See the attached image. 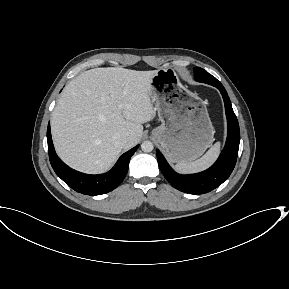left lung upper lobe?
I'll return each mask as SVG.
<instances>
[{
  "instance_id": "1",
  "label": "left lung upper lobe",
  "mask_w": 289,
  "mask_h": 289,
  "mask_svg": "<svg viewBox=\"0 0 289 289\" xmlns=\"http://www.w3.org/2000/svg\"><path fill=\"white\" fill-rule=\"evenodd\" d=\"M194 77L195 80L199 82L210 84L215 87L222 86V84L214 76L200 67L194 68Z\"/></svg>"
}]
</instances>
